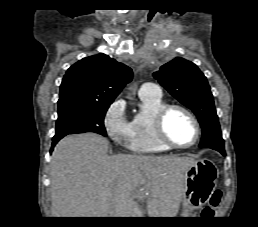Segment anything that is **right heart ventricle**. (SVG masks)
<instances>
[{
	"label": "right heart ventricle",
	"instance_id": "right-heart-ventricle-1",
	"mask_svg": "<svg viewBox=\"0 0 258 227\" xmlns=\"http://www.w3.org/2000/svg\"><path fill=\"white\" fill-rule=\"evenodd\" d=\"M140 109L130 121V131L127 138V147L135 153L152 154L163 153L169 147L161 143L154 129V118L157 111L165 103L162 97L139 95Z\"/></svg>",
	"mask_w": 258,
	"mask_h": 227
}]
</instances>
